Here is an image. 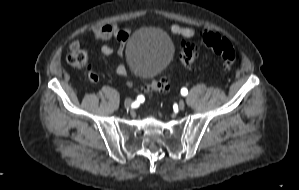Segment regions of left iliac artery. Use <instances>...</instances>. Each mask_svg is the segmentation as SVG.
<instances>
[{
  "label": "left iliac artery",
  "instance_id": "left-iliac-artery-1",
  "mask_svg": "<svg viewBox=\"0 0 299 190\" xmlns=\"http://www.w3.org/2000/svg\"><path fill=\"white\" fill-rule=\"evenodd\" d=\"M181 94H182L183 96H186V95L188 94V90H187L186 88H182V89H181Z\"/></svg>",
  "mask_w": 299,
  "mask_h": 190
}]
</instances>
